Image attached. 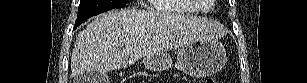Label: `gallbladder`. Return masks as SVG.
<instances>
[{
  "mask_svg": "<svg viewBox=\"0 0 307 83\" xmlns=\"http://www.w3.org/2000/svg\"><path fill=\"white\" fill-rule=\"evenodd\" d=\"M107 80L105 73L88 72L81 79V83H104Z\"/></svg>",
  "mask_w": 307,
  "mask_h": 83,
  "instance_id": "1",
  "label": "gallbladder"
}]
</instances>
